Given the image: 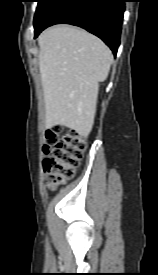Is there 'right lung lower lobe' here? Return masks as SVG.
<instances>
[{
	"label": "right lung lower lobe",
	"instance_id": "98d812e1",
	"mask_svg": "<svg viewBox=\"0 0 158 275\" xmlns=\"http://www.w3.org/2000/svg\"><path fill=\"white\" fill-rule=\"evenodd\" d=\"M125 0H57L34 25L35 37L45 28L67 23L101 38L114 55L120 44Z\"/></svg>",
	"mask_w": 158,
	"mask_h": 275
}]
</instances>
